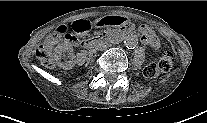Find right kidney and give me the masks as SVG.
Returning a JSON list of instances; mask_svg holds the SVG:
<instances>
[{
  "label": "right kidney",
  "mask_w": 207,
  "mask_h": 123,
  "mask_svg": "<svg viewBox=\"0 0 207 123\" xmlns=\"http://www.w3.org/2000/svg\"><path fill=\"white\" fill-rule=\"evenodd\" d=\"M66 50H68V48L65 45H58L55 49H54V60L56 61L57 65L65 70H70L74 67L75 63L74 61L70 60V61H66L65 63L61 62V57L63 52H65Z\"/></svg>",
  "instance_id": "ca27d5eb"
}]
</instances>
